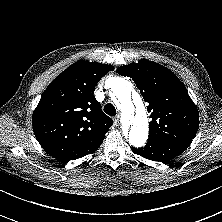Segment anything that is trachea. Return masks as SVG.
Listing matches in <instances>:
<instances>
[{
	"mask_svg": "<svg viewBox=\"0 0 222 222\" xmlns=\"http://www.w3.org/2000/svg\"><path fill=\"white\" fill-rule=\"evenodd\" d=\"M104 111H105V113L108 114L109 116H115V115L117 114L114 105L111 104V103H107V104L104 106Z\"/></svg>",
	"mask_w": 222,
	"mask_h": 222,
	"instance_id": "3493384b",
	"label": "trachea"
}]
</instances>
